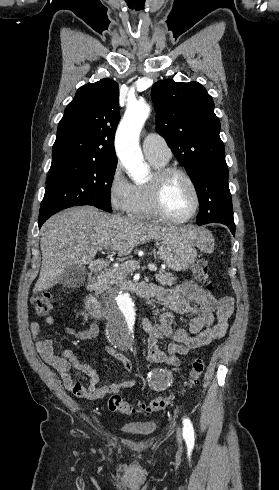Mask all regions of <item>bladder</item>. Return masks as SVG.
Instances as JSON below:
<instances>
[{"label":"bladder","instance_id":"obj_1","mask_svg":"<svg viewBox=\"0 0 279 490\" xmlns=\"http://www.w3.org/2000/svg\"><path fill=\"white\" fill-rule=\"evenodd\" d=\"M156 428L157 425L155 421H142L132 424L126 430L129 431L132 436L148 437L154 434Z\"/></svg>","mask_w":279,"mask_h":490}]
</instances>
